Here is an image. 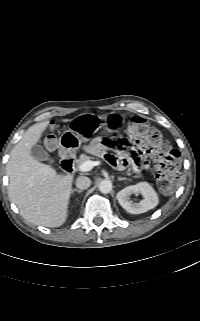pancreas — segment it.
Masks as SVG:
<instances>
[{
    "instance_id": "cf45deb5",
    "label": "pancreas",
    "mask_w": 200,
    "mask_h": 321,
    "mask_svg": "<svg viewBox=\"0 0 200 321\" xmlns=\"http://www.w3.org/2000/svg\"><path fill=\"white\" fill-rule=\"evenodd\" d=\"M92 157L86 155V154H81L80 158L78 159V164L80 165L81 163L85 161H91ZM128 175H131V173H128Z\"/></svg>"
}]
</instances>
